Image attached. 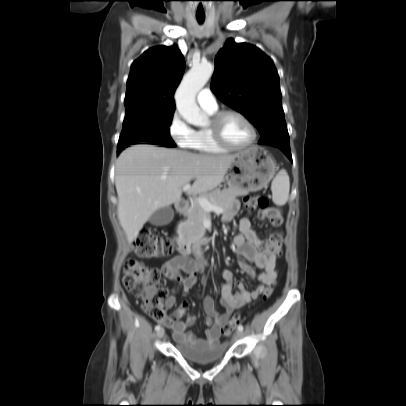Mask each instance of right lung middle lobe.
<instances>
[{
    "label": "right lung middle lobe",
    "mask_w": 406,
    "mask_h": 406,
    "mask_svg": "<svg viewBox=\"0 0 406 406\" xmlns=\"http://www.w3.org/2000/svg\"><path fill=\"white\" fill-rule=\"evenodd\" d=\"M173 113L174 110L147 108L126 110L117 151L141 142L175 147L168 128L171 125Z\"/></svg>",
    "instance_id": "right-lung-middle-lobe-1"
}]
</instances>
